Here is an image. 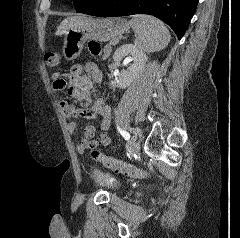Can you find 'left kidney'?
I'll list each match as a JSON object with an SVG mask.
<instances>
[{
    "label": "left kidney",
    "instance_id": "5707ae66",
    "mask_svg": "<svg viewBox=\"0 0 240 238\" xmlns=\"http://www.w3.org/2000/svg\"><path fill=\"white\" fill-rule=\"evenodd\" d=\"M125 57V61L132 62L126 70H122L114 84L122 89L128 87L137 77L146 63V54L137 44H124L120 46L113 55V60L117 63ZM113 84V83H112Z\"/></svg>",
    "mask_w": 240,
    "mask_h": 238
}]
</instances>
